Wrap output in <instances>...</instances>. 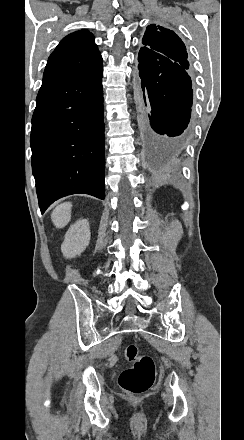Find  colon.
Masks as SVG:
<instances>
[{
    "label": "colon",
    "mask_w": 244,
    "mask_h": 440,
    "mask_svg": "<svg viewBox=\"0 0 244 440\" xmlns=\"http://www.w3.org/2000/svg\"><path fill=\"white\" fill-rule=\"evenodd\" d=\"M124 359L135 363V368L121 373L122 389L132 395L145 393L155 380V365L152 357L145 353L141 354L137 345H128L124 351Z\"/></svg>",
    "instance_id": "colon-1"
}]
</instances>
